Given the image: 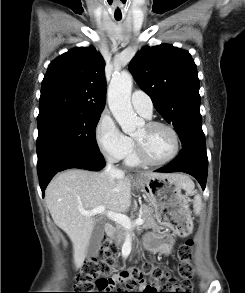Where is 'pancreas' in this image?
I'll use <instances>...</instances> for the list:
<instances>
[{"label":"pancreas","mask_w":245,"mask_h":293,"mask_svg":"<svg viewBox=\"0 0 245 293\" xmlns=\"http://www.w3.org/2000/svg\"><path fill=\"white\" fill-rule=\"evenodd\" d=\"M139 218L144 220L142 226L138 229L139 231L143 229H159L160 227L156 223L153 217V210L150 208H143L138 214ZM127 235V229L123 227L121 224H116L113 229L112 234L110 235V239L115 242L117 246L122 245Z\"/></svg>","instance_id":"pancreas-1"}]
</instances>
